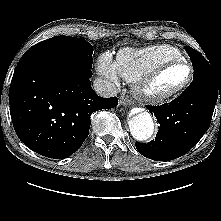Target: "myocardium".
Masks as SVG:
<instances>
[{"label": "myocardium", "instance_id": "myocardium-1", "mask_svg": "<svg viewBox=\"0 0 221 221\" xmlns=\"http://www.w3.org/2000/svg\"><path fill=\"white\" fill-rule=\"evenodd\" d=\"M179 65L187 66L189 69V76L186 81L174 89L168 91H157L155 89V83L158 78L167 70ZM193 78L194 68L190 62L185 59L172 60L158 66L148 75L141 78L136 84L135 92L139 98L149 104H163L184 92L192 83Z\"/></svg>", "mask_w": 221, "mask_h": 221}]
</instances>
